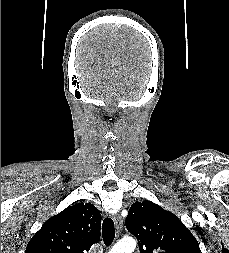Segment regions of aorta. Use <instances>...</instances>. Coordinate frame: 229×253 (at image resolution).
<instances>
[{
    "label": "aorta",
    "mask_w": 229,
    "mask_h": 253,
    "mask_svg": "<svg viewBox=\"0 0 229 253\" xmlns=\"http://www.w3.org/2000/svg\"><path fill=\"white\" fill-rule=\"evenodd\" d=\"M136 248V241L132 238H124L117 242L109 253H132Z\"/></svg>",
    "instance_id": "1"
}]
</instances>
